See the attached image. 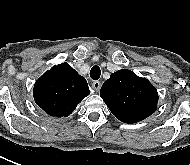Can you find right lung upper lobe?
<instances>
[{
	"label": "right lung upper lobe",
	"mask_w": 190,
	"mask_h": 165,
	"mask_svg": "<svg viewBox=\"0 0 190 165\" xmlns=\"http://www.w3.org/2000/svg\"><path fill=\"white\" fill-rule=\"evenodd\" d=\"M87 81L68 63L53 66L34 85V100L50 116L67 117L89 95Z\"/></svg>",
	"instance_id": "1"
}]
</instances>
